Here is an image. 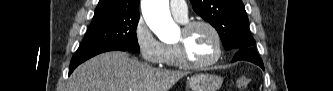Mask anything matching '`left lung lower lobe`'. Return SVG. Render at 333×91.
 Returning a JSON list of instances; mask_svg holds the SVG:
<instances>
[{"label":"left lung lower lobe","instance_id":"obj_1","mask_svg":"<svg viewBox=\"0 0 333 91\" xmlns=\"http://www.w3.org/2000/svg\"><path fill=\"white\" fill-rule=\"evenodd\" d=\"M238 60H246L253 62L264 69L262 60L259 58L257 52L254 50L253 47H246L236 50L232 61L234 62Z\"/></svg>","mask_w":333,"mask_h":91}]
</instances>
